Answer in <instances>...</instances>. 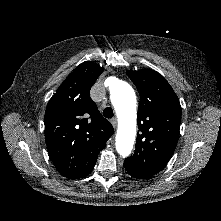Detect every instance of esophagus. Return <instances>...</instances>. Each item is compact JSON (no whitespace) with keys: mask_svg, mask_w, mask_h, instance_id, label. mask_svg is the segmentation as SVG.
Wrapping results in <instances>:
<instances>
[{"mask_svg":"<svg viewBox=\"0 0 221 221\" xmlns=\"http://www.w3.org/2000/svg\"><path fill=\"white\" fill-rule=\"evenodd\" d=\"M110 122H111L112 126L115 128L116 125H117V119H116V118H112V119L110 120Z\"/></svg>","mask_w":221,"mask_h":221,"instance_id":"esophagus-1","label":"esophagus"}]
</instances>
